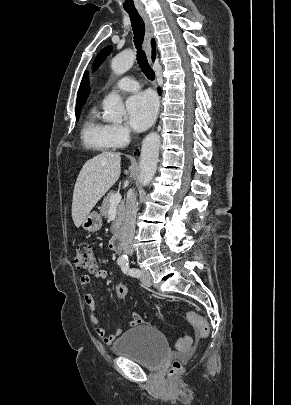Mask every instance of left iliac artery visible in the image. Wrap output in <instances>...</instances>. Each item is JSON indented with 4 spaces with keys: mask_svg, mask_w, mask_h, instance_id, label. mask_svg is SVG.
Here are the masks:
<instances>
[{
    "mask_svg": "<svg viewBox=\"0 0 291 405\" xmlns=\"http://www.w3.org/2000/svg\"><path fill=\"white\" fill-rule=\"evenodd\" d=\"M120 266H121V270L123 271V273L130 275L132 277H139L141 274L139 269L130 268L128 262H125V263L121 264Z\"/></svg>",
    "mask_w": 291,
    "mask_h": 405,
    "instance_id": "1",
    "label": "left iliac artery"
}]
</instances>
